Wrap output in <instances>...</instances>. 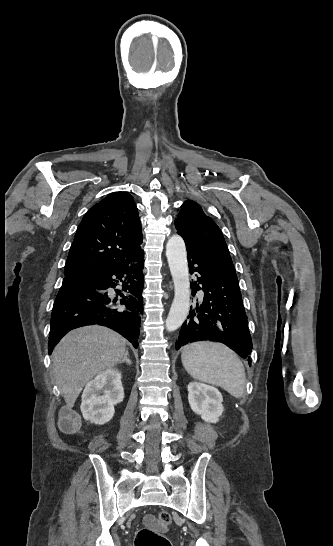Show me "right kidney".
Masks as SVG:
<instances>
[{
    "instance_id": "right-kidney-1",
    "label": "right kidney",
    "mask_w": 333,
    "mask_h": 546,
    "mask_svg": "<svg viewBox=\"0 0 333 546\" xmlns=\"http://www.w3.org/2000/svg\"><path fill=\"white\" fill-rule=\"evenodd\" d=\"M124 389L121 372L109 368L90 381L82 394L81 412L86 420L103 425L114 415V406L122 402Z\"/></svg>"
}]
</instances>
